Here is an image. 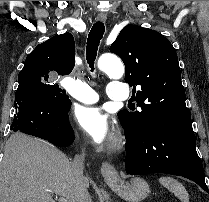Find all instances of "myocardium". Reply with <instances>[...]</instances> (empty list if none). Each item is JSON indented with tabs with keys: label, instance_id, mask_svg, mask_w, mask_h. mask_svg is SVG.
Here are the masks:
<instances>
[{
	"label": "myocardium",
	"instance_id": "1",
	"mask_svg": "<svg viewBox=\"0 0 209 202\" xmlns=\"http://www.w3.org/2000/svg\"><path fill=\"white\" fill-rule=\"evenodd\" d=\"M121 142V139L118 137L116 138L113 143H112V148H118L119 147V144Z\"/></svg>",
	"mask_w": 209,
	"mask_h": 202
}]
</instances>
